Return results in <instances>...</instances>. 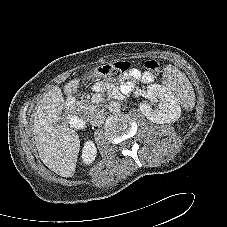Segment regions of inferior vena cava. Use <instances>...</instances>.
Segmentation results:
<instances>
[{"mask_svg": "<svg viewBox=\"0 0 227 227\" xmlns=\"http://www.w3.org/2000/svg\"><path fill=\"white\" fill-rule=\"evenodd\" d=\"M89 120L93 126H99L104 122L105 114L101 110H96L91 113Z\"/></svg>", "mask_w": 227, "mask_h": 227, "instance_id": "1", "label": "inferior vena cava"}]
</instances>
